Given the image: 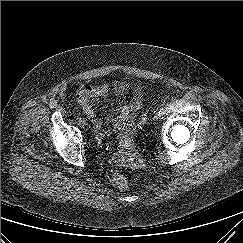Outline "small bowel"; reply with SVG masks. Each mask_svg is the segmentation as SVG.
Masks as SVG:
<instances>
[{"label": "small bowel", "instance_id": "small-bowel-1", "mask_svg": "<svg viewBox=\"0 0 243 243\" xmlns=\"http://www.w3.org/2000/svg\"><path fill=\"white\" fill-rule=\"evenodd\" d=\"M129 90V85L120 81L97 85L83 84L78 89L77 103L95 125L98 140L102 137V127L105 122L113 123L112 131L117 133L123 141L129 139L133 131L132 113L138 111L143 103L142 92L139 88L133 90L131 101L122 105L117 113H108L105 116H99L96 113L98 101L107 97L111 91L117 95H125Z\"/></svg>", "mask_w": 243, "mask_h": 243}]
</instances>
